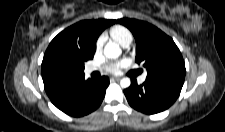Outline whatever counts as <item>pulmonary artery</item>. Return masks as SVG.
I'll use <instances>...</instances> for the list:
<instances>
[{
    "mask_svg": "<svg viewBox=\"0 0 225 132\" xmlns=\"http://www.w3.org/2000/svg\"><path fill=\"white\" fill-rule=\"evenodd\" d=\"M128 45H129V44H126V45H124L123 47H128ZM95 70H96L95 67H87V68H86V72H87V73H91V72H93V71H95ZM145 80H146V75H141V76L139 77V79H138V81H139L140 83H143Z\"/></svg>",
    "mask_w": 225,
    "mask_h": 132,
    "instance_id": "1",
    "label": "pulmonary artery"
}]
</instances>
